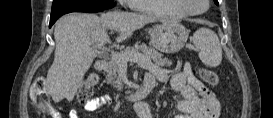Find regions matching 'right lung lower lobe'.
<instances>
[{
    "instance_id": "1",
    "label": "right lung lower lobe",
    "mask_w": 273,
    "mask_h": 118,
    "mask_svg": "<svg viewBox=\"0 0 273 118\" xmlns=\"http://www.w3.org/2000/svg\"><path fill=\"white\" fill-rule=\"evenodd\" d=\"M71 12H100L98 10H88L84 8L74 7L66 4H60L58 6H52L51 18H50V27L56 22V20L67 13Z\"/></svg>"
}]
</instances>
